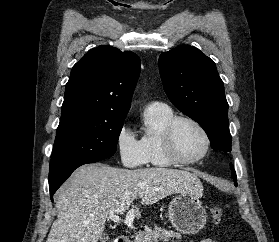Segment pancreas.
Wrapping results in <instances>:
<instances>
[{"label":"pancreas","instance_id":"obj_1","mask_svg":"<svg viewBox=\"0 0 279 242\" xmlns=\"http://www.w3.org/2000/svg\"><path fill=\"white\" fill-rule=\"evenodd\" d=\"M174 239H181V234L155 226L153 229H148L147 231L137 235L134 238V242H174Z\"/></svg>","mask_w":279,"mask_h":242}]
</instances>
